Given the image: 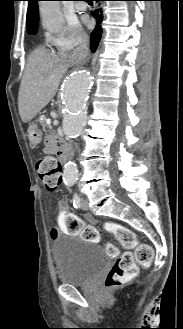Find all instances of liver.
Wrapping results in <instances>:
<instances>
[{"label":"liver","mask_w":183,"mask_h":329,"mask_svg":"<svg viewBox=\"0 0 183 329\" xmlns=\"http://www.w3.org/2000/svg\"><path fill=\"white\" fill-rule=\"evenodd\" d=\"M68 62L45 49L30 55L18 95L19 114L24 123L31 121L55 96Z\"/></svg>","instance_id":"liver-1"}]
</instances>
